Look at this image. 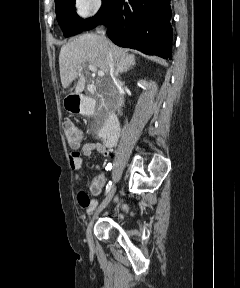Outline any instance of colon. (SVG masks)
<instances>
[{
  "instance_id": "5ec220e1",
  "label": "colon",
  "mask_w": 240,
  "mask_h": 288,
  "mask_svg": "<svg viewBox=\"0 0 240 288\" xmlns=\"http://www.w3.org/2000/svg\"><path fill=\"white\" fill-rule=\"evenodd\" d=\"M63 129L69 145L71 147L79 146L83 140L82 133L79 131V129L69 121L64 123ZM93 189H96L95 184L93 186Z\"/></svg>"
}]
</instances>
